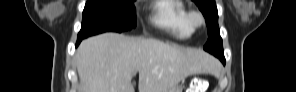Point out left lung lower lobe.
<instances>
[{
	"label": "left lung lower lobe",
	"mask_w": 296,
	"mask_h": 92,
	"mask_svg": "<svg viewBox=\"0 0 296 92\" xmlns=\"http://www.w3.org/2000/svg\"><path fill=\"white\" fill-rule=\"evenodd\" d=\"M220 60H222L223 62L225 61V59H224V58H220Z\"/></svg>",
	"instance_id": "obj_1"
}]
</instances>
